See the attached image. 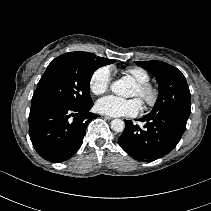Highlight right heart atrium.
I'll return each mask as SVG.
<instances>
[{"instance_id":"d8ad5b80","label":"right heart atrium","mask_w":211,"mask_h":211,"mask_svg":"<svg viewBox=\"0 0 211 211\" xmlns=\"http://www.w3.org/2000/svg\"><path fill=\"white\" fill-rule=\"evenodd\" d=\"M112 83L111 70L107 66L96 69L89 80L90 91L95 95L105 93Z\"/></svg>"}]
</instances>
